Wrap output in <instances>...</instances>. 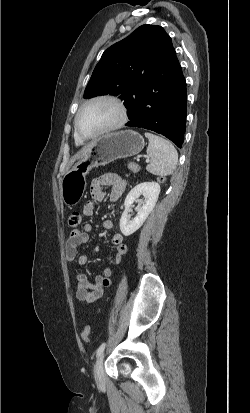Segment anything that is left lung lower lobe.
<instances>
[{"label": "left lung lower lobe", "mask_w": 250, "mask_h": 413, "mask_svg": "<svg viewBox=\"0 0 250 413\" xmlns=\"http://www.w3.org/2000/svg\"><path fill=\"white\" fill-rule=\"evenodd\" d=\"M161 74L142 82L137 97L127 105L126 126L142 127L162 134L179 148L186 128V82L174 48Z\"/></svg>", "instance_id": "obj_1"}]
</instances>
